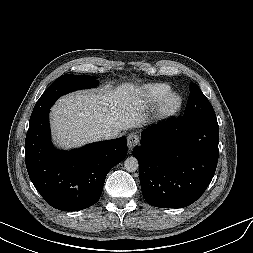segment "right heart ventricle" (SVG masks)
<instances>
[{
    "label": "right heart ventricle",
    "instance_id": "1",
    "mask_svg": "<svg viewBox=\"0 0 253 253\" xmlns=\"http://www.w3.org/2000/svg\"><path fill=\"white\" fill-rule=\"evenodd\" d=\"M171 87L165 83H151L143 87L141 94L148 105H156L165 95L170 93Z\"/></svg>",
    "mask_w": 253,
    "mask_h": 253
}]
</instances>
